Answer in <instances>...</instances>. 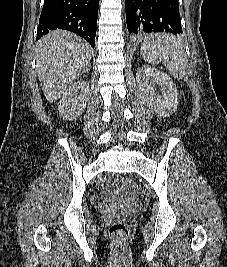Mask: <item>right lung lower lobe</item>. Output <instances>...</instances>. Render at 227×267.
<instances>
[{
	"instance_id": "98d812e1",
	"label": "right lung lower lobe",
	"mask_w": 227,
	"mask_h": 267,
	"mask_svg": "<svg viewBox=\"0 0 227 267\" xmlns=\"http://www.w3.org/2000/svg\"><path fill=\"white\" fill-rule=\"evenodd\" d=\"M99 0H44L37 40L50 30L66 29L95 47Z\"/></svg>"
}]
</instances>
